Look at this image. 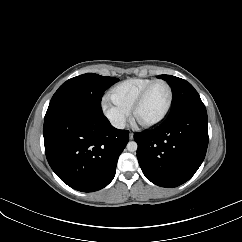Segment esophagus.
<instances>
[{"label": "esophagus", "mask_w": 242, "mask_h": 242, "mask_svg": "<svg viewBox=\"0 0 242 242\" xmlns=\"http://www.w3.org/2000/svg\"><path fill=\"white\" fill-rule=\"evenodd\" d=\"M129 139L132 140L133 139V133H129Z\"/></svg>", "instance_id": "esophagus-1"}]
</instances>
